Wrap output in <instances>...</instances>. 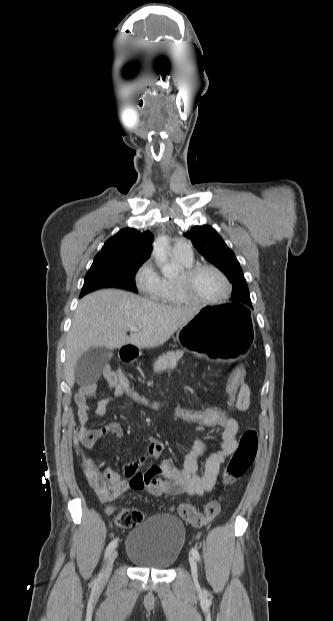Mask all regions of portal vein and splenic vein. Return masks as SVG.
<instances>
[{
  "mask_svg": "<svg viewBox=\"0 0 333 621\" xmlns=\"http://www.w3.org/2000/svg\"><path fill=\"white\" fill-rule=\"evenodd\" d=\"M129 330H130L131 332H135V331H137V330H138V328H137V327H135V326H131V327H129Z\"/></svg>",
  "mask_w": 333,
  "mask_h": 621,
  "instance_id": "portal-vein-and-splenic-vein-1",
  "label": "portal vein and splenic vein"
}]
</instances>
